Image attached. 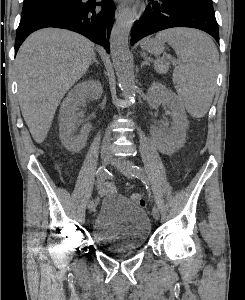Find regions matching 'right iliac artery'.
I'll use <instances>...</instances> for the list:
<instances>
[{
  "label": "right iliac artery",
  "instance_id": "82829eb1",
  "mask_svg": "<svg viewBox=\"0 0 245 300\" xmlns=\"http://www.w3.org/2000/svg\"><path fill=\"white\" fill-rule=\"evenodd\" d=\"M108 177V170L105 167H99L97 170V180L99 183H103ZM108 180V179H107ZM100 200L97 198L95 202H92V205H98Z\"/></svg>",
  "mask_w": 245,
  "mask_h": 300
}]
</instances>
